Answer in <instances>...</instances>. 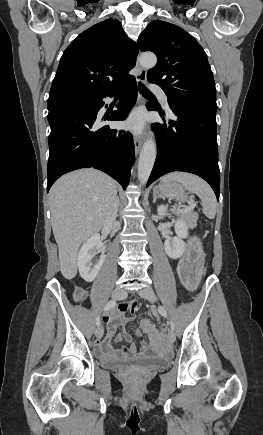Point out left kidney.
<instances>
[{
    "label": "left kidney",
    "instance_id": "left-kidney-1",
    "mask_svg": "<svg viewBox=\"0 0 263 435\" xmlns=\"http://www.w3.org/2000/svg\"><path fill=\"white\" fill-rule=\"evenodd\" d=\"M157 212L158 215L162 217L169 215L167 213V207L164 205L158 206ZM188 228L189 226L184 220L178 219L176 221L175 233L177 236L172 238L169 237L164 242L165 252L170 258L178 259L184 254L186 244L183 239L188 235Z\"/></svg>",
    "mask_w": 263,
    "mask_h": 435
}]
</instances>
